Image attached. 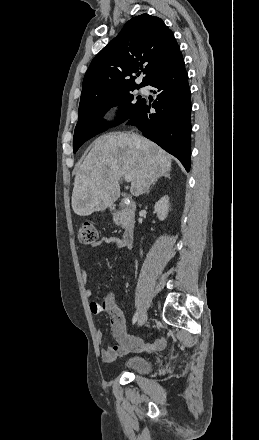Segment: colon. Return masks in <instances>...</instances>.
<instances>
[{
	"mask_svg": "<svg viewBox=\"0 0 259 440\" xmlns=\"http://www.w3.org/2000/svg\"><path fill=\"white\" fill-rule=\"evenodd\" d=\"M78 237L83 244H93L97 240V231L91 222H83L80 224Z\"/></svg>",
	"mask_w": 259,
	"mask_h": 440,
	"instance_id": "5ec220e1",
	"label": "colon"
}]
</instances>
